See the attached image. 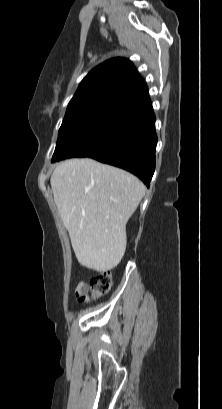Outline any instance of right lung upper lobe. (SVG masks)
<instances>
[{
	"label": "right lung upper lobe",
	"instance_id": "obj_1",
	"mask_svg": "<svg viewBox=\"0 0 222 409\" xmlns=\"http://www.w3.org/2000/svg\"><path fill=\"white\" fill-rule=\"evenodd\" d=\"M150 101L148 88L125 58H113L92 69L80 83L68 109L122 105L125 109Z\"/></svg>",
	"mask_w": 222,
	"mask_h": 409
}]
</instances>
